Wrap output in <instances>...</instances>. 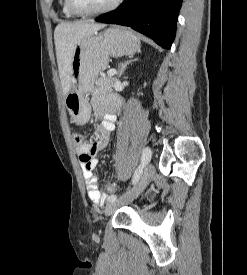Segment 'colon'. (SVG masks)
<instances>
[{"mask_svg":"<svg viewBox=\"0 0 247 275\" xmlns=\"http://www.w3.org/2000/svg\"><path fill=\"white\" fill-rule=\"evenodd\" d=\"M73 142L77 146H81L84 143V135L78 132L73 133L72 135ZM107 193H114L117 191V185L115 183H110L106 187Z\"/></svg>","mask_w":247,"mask_h":275,"instance_id":"1","label":"colon"}]
</instances>
